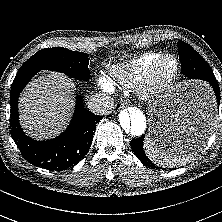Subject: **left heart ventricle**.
I'll return each mask as SVG.
<instances>
[{
  "label": "left heart ventricle",
  "instance_id": "left-heart-ventricle-1",
  "mask_svg": "<svg viewBox=\"0 0 222 222\" xmlns=\"http://www.w3.org/2000/svg\"><path fill=\"white\" fill-rule=\"evenodd\" d=\"M173 68H174L173 60L167 59L159 67V74L161 76H167L172 72Z\"/></svg>",
  "mask_w": 222,
  "mask_h": 222
}]
</instances>
